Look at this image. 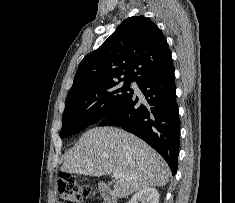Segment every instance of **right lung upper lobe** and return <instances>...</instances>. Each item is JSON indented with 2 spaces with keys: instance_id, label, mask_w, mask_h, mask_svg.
Here are the masks:
<instances>
[{
  "instance_id": "1",
  "label": "right lung upper lobe",
  "mask_w": 235,
  "mask_h": 203,
  "mask_svg": "<svg viewBox=\"0 0 235 203\" xmlns=\"http://www.w3.org/2000/svg\"><path fill=\"white\" fill-rule=\"evenodd\" d=\"M170 63L171 52L159 28L144 16H133L80 62L69 93L113 80L138 82Z\"/></svg>"
}]
</instances>
